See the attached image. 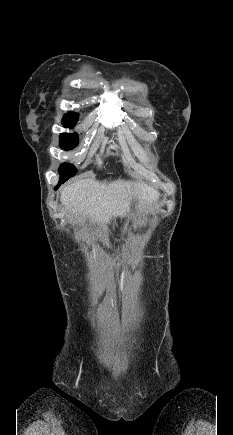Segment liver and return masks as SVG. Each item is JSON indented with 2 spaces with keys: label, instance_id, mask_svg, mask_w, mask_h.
I'll list each match as a JSON object with an SVG mask.
<instances>
[{
  "label": "liver",
  "instance_id": "6515ba94",
  "mask_svg": "<svg viewBox=\"0 0 233 435\" xmlns=\"http://www.w3.org/2000/svg\"><path fill=\"white\" fill-rule=\"evenodd\" d=\"M158 198L159 192L143 182L115 180L108 183L92 178L78 180L60 192V202L72 216L102 225L126 216L135 199L140 205L149 206Z\"/></svg>",
  "mask_w": 233,
  "mask_h": 435
}]
</instances>
